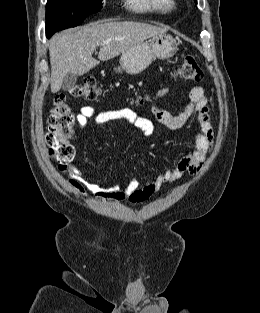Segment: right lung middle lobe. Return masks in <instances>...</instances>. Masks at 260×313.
Returning <instances> with one entry per match:
<instances>
[{"instance_id":"obj_1","label":"right lung middle lobe","mask_w":260,"mask_h":313,"mask_svg":"<svg viewBox=\"0 0 260 313\" xmlns=\"http://www.w3.org/2000/svg\"><path fill=\"white\" fill-rule=\"evenodd\" d=\"M103 0H48L46 35L79 25L87 16L101 10Z\"/></svg>"}]
</instances>
